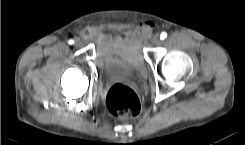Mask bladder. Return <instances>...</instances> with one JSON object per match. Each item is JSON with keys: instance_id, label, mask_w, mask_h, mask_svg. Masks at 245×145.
<instances>
[{"instance_id": "1", "label": "bladder", "mask_w": 245, "mask_h": 145, "mask_svg": "<svg viewBox=\"0 0 245 145\" xmlns=\"http://www.w3.org/2000/svg\"><path fill=\"white\" fill-rule=\"evenodd\" d=\"M96 64L105 76L114 77L127 71L143 70L145 57L132 34L109 32L98 42Z\"/></svg>"}]
</instances>
